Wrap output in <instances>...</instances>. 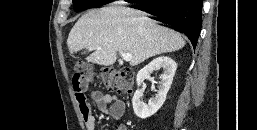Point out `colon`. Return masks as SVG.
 Segmentation results:
<instances>
[{"label":"colon","mask_w":257,"mask_h":130,"mask_svg":"<svg viewBox=\"0 0 257 130\" xmlns=\"http://www.w3.org/2000/svg\"><path fill=\"white\" fill-rule=\"evenodd\" d=\"M101 79L104 87L120 94H130L134 83V73L129 68L116 69L112 67L101 71ZM95 73L91 65L80 62L72 69V85L76 97L80 100L85 98V90L94 82Z\"/></svg>","instance_id":"1"}]
</instances>
